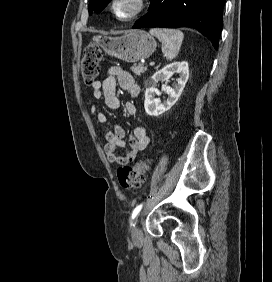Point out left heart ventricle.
I'll use <instances>...</instances> for the list:
<instances>
[{"label":"left heart ventricle","mask_w":272,"mask_h":282,"mask_svg":"<svg viewBox=\"0 0 272 282\" xmlns=\"http://www.w3.org/2000/svg\"><path fill=\"white\" fill-rule=\"evenodd\" d=\"M136 8L135 0H121L117 6L118 15L126 17L130 15Z\"/></svg>","instance_id":"obj_1"}]
</instances>
